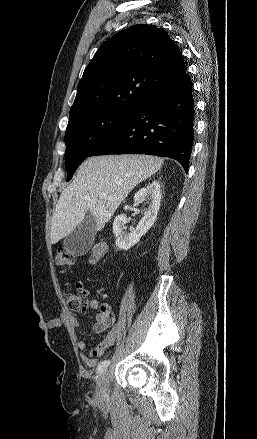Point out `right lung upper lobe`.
<instances>
[{"label": "right lung upper lobe", "instance_id": "cb5924a9", "mask_svg": "<svg viewBox=\"0 0 257 439\" xmlns=\"http://www.w3.org/2000/svg\"><path fill=\"white\" fill-rule=\"evenodd\" d=\"M185 73L183 56L165 30L132 26L97 50L78 84L69 118L98 109L136 110Z\"/></svg>", "mask_w": 257, "mask_h": 439}]
</instances>
